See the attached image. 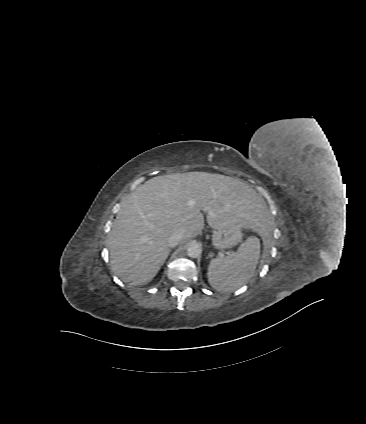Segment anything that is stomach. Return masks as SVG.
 <instances>
[{"label": "stomach", "mask_w": 366, "mask_h": 424, "mask_svg": "<svg viewBox=\"0 0 366 424\" xmlns=\"http://www.w3.org/2000/svg\"><path fill=\"white\" fill-rule=\"evenodd\" d=\"M241 227L233 224V227L216 229L212 236V244L216 249H228L237 245L242 239Z\"/></svg>", "instance_id": "1"}]
</instances>
